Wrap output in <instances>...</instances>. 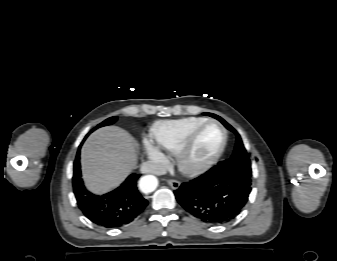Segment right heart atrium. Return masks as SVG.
Returning <instances> with one entry per match:
<instances>
[{
    "instance_id": "right-heart-atrium-1",
    "label": "right heart atrium",
    "mask_w": 337,
    "mask_h": 261,
    "mask_svg": "<svg viewBox=\"0 0 337 261\" xmlns=\"http://www.w3.org/2000/svg\"><path fill=\"white\" fill-rule=\"evenodd\" d=\"M145 146L148 156L150 157L151 160H153L157 164H163L165 162L164 155L160 152V150L157 147L148 142H146Z\"/></svg>"
}]
</instances>
